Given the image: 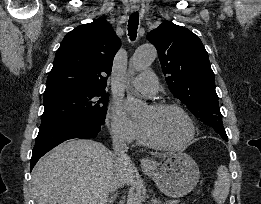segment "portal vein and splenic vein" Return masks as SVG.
<instances>
[{
	"mask_svg": "<svg viewBox=\"0 0 261 204\" xmlns=\"http://www.w3.org/2000/svg\"><path fill=\"white\" fill-rule=\"evenodd\" d=\"M177 203L186 204L184 201H180V200Z\"/></svg>",
	"mask_w": 261,
	"mask_h": 204,
	"instance_id": "1",
	"label": "portal vein and splenic vein"
}]
</instances>
